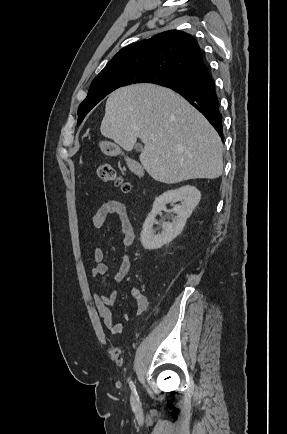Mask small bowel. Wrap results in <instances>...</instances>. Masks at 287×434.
<instances>
[{"instance_id":"obj_1","label":"small bowel","mask_w":287,"mask_h":434,"mask_svg":"<svg viewBox=\"0 0 287 434\" xmlns=\"http://www.w3.org/2000/svg\"><path fill=\"white\" fill-rule=\"evenodd\" d=\"M111 215H117L121 228H122V245L124 248V255L121 266L115 274V280L117 282L122 281L130 271L131 261L128 255V248L133 244L135 239V233L133 225L129 219L128 210L124 203L117 200H110L105 202L93 215L91 223L95 228H101L107 218ZM104 252L101 247L95 248L93 252V259L95 265L91 269V275L94 278L105 275L108 271L107 265L103 261ZM132 297L135 300V306L132 309L137 316L142 315L148 308L149 302L143 291L139 288H133L131 290ZM94 306L102 318L104 325L111 331L112 334L118 335L122 332L123 326L120 322H116L109 309V306L115 304L117 300V292L104 295L101 293H94L92 295Z\"/></svg>"}]
</instances>
